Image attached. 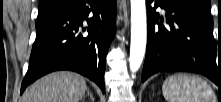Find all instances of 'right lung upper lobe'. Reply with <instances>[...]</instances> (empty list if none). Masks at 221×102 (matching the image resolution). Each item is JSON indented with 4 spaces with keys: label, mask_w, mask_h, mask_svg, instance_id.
<instances>
[{
    "label": "right lung upper lobe",
    "mask_w": 221,
    "mask_h": 102,
    "mask_svg": "<svg viewBox=\"0 0 221 102\" xmlns=\"http://www.w3.org/2000/svg\"><path fill=\"white\" fill-rule=\"evenodd\" d=\"M71 2L72 0H40L39 9L65 6L66 4H70Z\"/></svg>",
    "instance_id": "obj_1"
}]
</instances>
